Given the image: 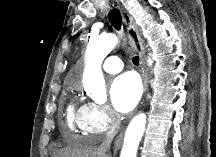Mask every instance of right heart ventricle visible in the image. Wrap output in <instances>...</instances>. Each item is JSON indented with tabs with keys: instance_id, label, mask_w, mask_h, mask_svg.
Instances as JSON below:
<instances>
[{
	"instance_id": "1",
	"label": "right heart ventricle",
	"mask_w": 216,
	"mask_h": 157,
	"mask_svg": "<svg viewBox=\"0 0 216 157\" xmlns=\"http://www.w3.org/2000/svg\"><path fill=\"white\" fill-rule=\"evenodd\" d=\"M85 106L86 105H77L75 102H71L68 106L67 124L72 131H75L76 128H80V118Z\"/></svg>"
}]
</instances>
